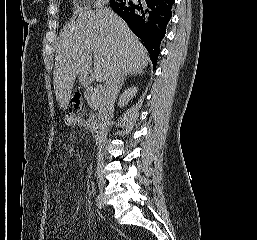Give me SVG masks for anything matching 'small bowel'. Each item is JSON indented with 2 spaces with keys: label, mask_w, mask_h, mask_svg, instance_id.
<instances>
[{
  "label": "small bowel",
  "mask_w": 257,
  "mask_h": 240,
  "mask_svg": "<svg viewBox=\"0 0 257 240\" xmlns=\"http://www.w3.org/2000/svg\"><path fill=\"white\" fill-rule=\"evenodd\" d=\"M60 223L65 224V223H66V221H65V220H61V221H60Z\"/></svg>",
  "instance_id": "1"
}]
</instances>
